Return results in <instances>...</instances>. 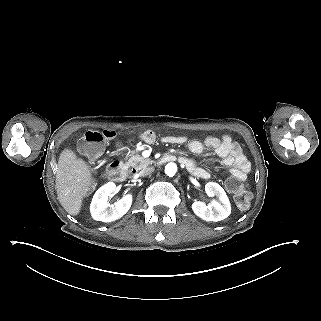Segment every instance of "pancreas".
<instances>
[{
  "label": "pancreas",
  "mask_w": 321,
  "mask_h": 321,
  "mask_svg": "<svg viewBox=\"0 0 321 321\" xmlns=\"http://www.w3.org/2000/svg\"><path fill=\"white\" fill-rule=\"evenodd\" d=\"M152 164L150 159H145L141 157L138 151H131L130 158L128 162L124 165V169H128L130 167L140 170Z\"/></svg>",
  "instance_id": "1"
}]
</instances>
